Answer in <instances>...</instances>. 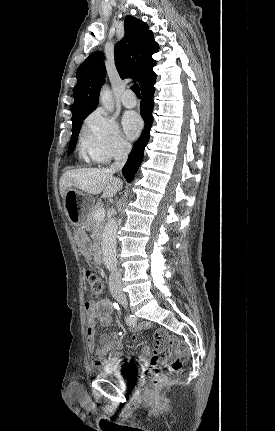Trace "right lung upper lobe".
I'll list each match as a JSON object with an SVG mask.
<instances>
[{"label": "right lung upper lobe", "instance_id": "obj_1", "mask_svg": "<svg viewBox=\"0 0 275 431\" xmlns=\"http://www.w3.org/2000/svg\"><path fill=\"white\" fill-rule=\"evenodd\" d=\"M159 49L153 33L141 20L126 16L125 35L114 47L117 71L122 79L133 78L141 90L156 80L153 67L156 61L152 55ZM103 54L94 52L80 65L76 73L72 104V126L82 122L99 103V92L106 75Z\"/></svg>", "mask_w": 275, "mask_h": 431}]
</instances>
